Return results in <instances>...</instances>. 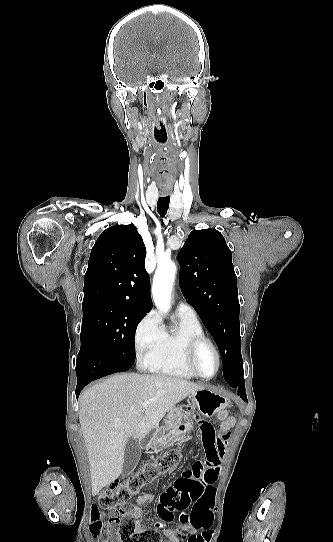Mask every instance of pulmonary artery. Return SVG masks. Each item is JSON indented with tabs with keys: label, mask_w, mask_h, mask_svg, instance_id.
I'll list each match as a JSON object with an SVG mask.
<instances>
[{
	"label": "pulmonary artery",
	"mask_w": 333,
	"mask_h": 542,
	"mask_svg": "<svg viewBox=\"0 0 333 542\" xmlns=\"http://www.w3.org/2000/svg\"><path fill=\"white\" fill-rule=\"evenodd\" d=\"M176 313L189 319H197V313L194 308L186 301H180L176 308Z\"/></svg>",
	"instance_id": "1"
}]
</instances>
